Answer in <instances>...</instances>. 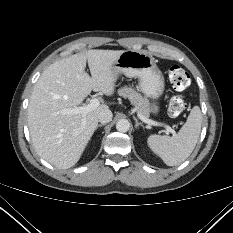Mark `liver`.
<instances>
[{"label":"liver","instance_id":"6515ba94","mask_svg":"<svg viewBox=\"0 0 233 233\" xmlns=\"http://www.w3.org/2000/svg\"><path fill=\"white\" fill-rule=\"evenodd\" d=\"M122 50H89L51 64L36 82L28 106V127L35 150L59 169L80 159L98 126L101 104L87 114H69L91 91L107 96L115 90L114 63ZM88 63L91 77L86 73Z\"/></svg>","mask_w":233,"mask_h":233}]
</instances>
